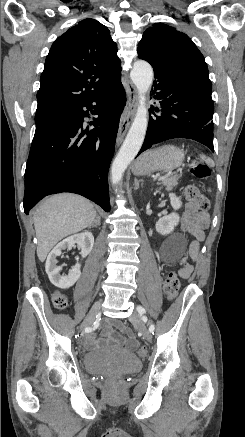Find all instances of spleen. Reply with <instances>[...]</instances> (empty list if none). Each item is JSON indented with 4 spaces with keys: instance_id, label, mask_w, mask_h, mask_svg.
<instances>
[{
    "instance_id": "3e777b00",
    "label": "spleen",
    "mask_w": 245,
    "mask_h": 437,
    "mask_svg": "<svg viewBox=\"0 0 245 437\" xmlns=\"http://www.w3.org/2000/svg\"><path fill=\"white\" fill-rule=\"evenodd\" d=\"M202 158H205V156L201 155Z\"/></svg>"
}]
</instances>
